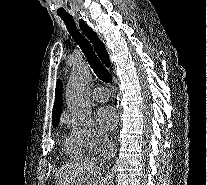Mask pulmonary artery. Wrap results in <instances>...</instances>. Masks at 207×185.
Returning <instances> with one entry per match:
<instances>
[{
  "label": "pulmonary artery",
  "instance_id": "pulmonary-artery-1",
  "mask_svg": "<svg viewBox=\"0 0 207 185\" xmlns=\"http://www.w3.org/2000/svg\"><path fill=\"white\" fill-rule=\"evenodd\" d=\"M102 87L94 89L92 97L98 102H106L110 97L109 90H102Z\"/></svg>",
  "mask_w": 207,
  "mask_h": 185
}]
</instances>
